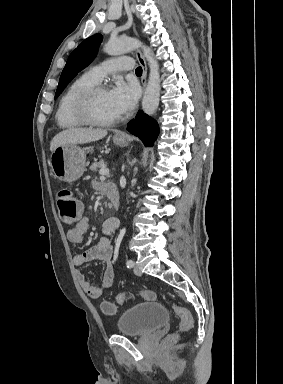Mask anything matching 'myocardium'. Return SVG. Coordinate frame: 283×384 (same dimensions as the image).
Returning <instances> with one entry per match:
<instances>
[{"label": "myocardium", "instance_id": "1", "mask_svg": "<svg viewBox=\"0 0 283 384\" xmlns=\"http://www.w3.org/2000/svg\"><path fill=\"white\" fill-rule=\"evenodd\" d=\"M103 84H95L82 91L72 105V116L82 126L95 128H109L120 121V117L110 121H100L94 118L90 112V105L97 92L106 90Z\"/></svg>", "mask_w": 283, "mask_h": 384}]
</instances>
